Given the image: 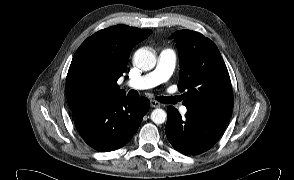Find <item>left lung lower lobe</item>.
I'll use <instances>...</instances> for the list:
<instances>
[{"mask_svg":"<svg viewBox=\"0 0 294 180\" xmlns=\"http://www.w3.org/2000/svg\"><path fill=\"white\" fill-rule=\"evenodd\" d=\"M186 107L185 117L173 106L167 108L165 133L177 151L190 155L201 154L219 140L232 109Z\"/></svg>","mask_w":294,"mask_h":180,"instance_id":"obj_1","label":"left lung lower lobe"}]
</instances>
